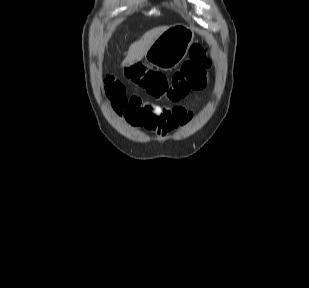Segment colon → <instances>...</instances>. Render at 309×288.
<instances>
[{
    "instance_id": "colon-1",
    "label": "colon",
    "mask_w": 309,
    "mask_h": 288,
    "mask_svg": "<svg viewBox=\"0 0 309 288\" xmlns=\"http://www.w3.org/2000/svg\"><path fill=\"white\" fill-rule=\"evenodd\" d=\"M190 59L173 73L170 80L161 72L145 69L140 63L127 66L122 76L110 74L104 88L114 107L121 113H129L124 81L144 87L155 98L179 101L190 91L203 90L209 83L207 75L211 59L207 46L195 43L189 51Z\"/></svg>"
}]
</instances>
